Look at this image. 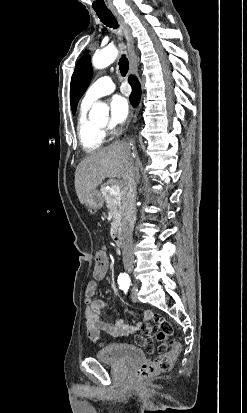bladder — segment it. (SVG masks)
<instances>
[{"mask_svg":"<svg viewBox=\"0 0 247 413\" xmlns=\"http://www.w3.org/2000/svg\"><path fill=\"white\" fill-rule=\"evenodd\" d=\"M144 358V351L126 344L109 343L97 352L96 359L104 362L126 364L134 359Z\"/></svg>","mask_w":247,"mask_h":413,"instance_id":"1","label":"bladder"}]
</instances>
